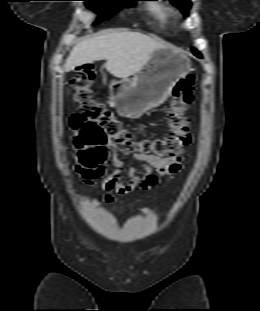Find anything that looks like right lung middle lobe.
I'll return each mask as SVG.
<instances>
[{"instance_id": "dd1d6c3e", "label": "right lung middle lobe", "mask_w": 260, "mask_h": 311, "mask_svg": "<svg viewBox=\"0 0 260 311\" xmlns=\"http://www.w3.org/2000/svg\"><path fill=\"white\" fill-rule=\"evenodd\" d=\"M85 1L86 6L97 13L99 18L95 24L100 21L111 17L117 9L123 5L132 6L136 3V0H82Z\"/></svg>"}]
</instances>
